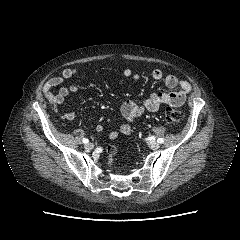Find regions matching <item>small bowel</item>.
Masks as SVG:
<instances>
[{
	"label": "small bowel",
	"instance_id": "1",
	"mask_svg": "<svg viewBox=\"0 0 240 240\" xmlns=\"http://www.w3.org/2000/svg\"><path fill=\"white\" fill-rule=\"evenodd\" d=\"M77 72L78 71L74 68L64 69L58 76L49 79L44 85L45 96L55 112L58 113L60 106L66 98L78 90V83L72 81V79L77 75ZM151 76L154 80H163L167 88H178V90L168 93H153L142 101H125L120 107V114L125 123L120 126L119 131H111L109 133V138L111 140H115L119 133L123 135H130L132 133L131 123L137 121L145 112H156L160 110L163 105L179 107L185 103L187 94L192 89L189 81L180 80L174 75L164 76V73L160 69H154ZM122 78L134 81L140 80V76L130 69H125L122 72ZM68 81H70L68 84L63 85ZM59 86H61L59 90L57 92H53V89ZM62 116L69 121L76 118L74 112H66ZM95 128L98 132H101L103 130V124L99 121L97 122Z\"/></svg>",
	"mask_w": 240,
	"mask_h": 240
}]
</instances>
